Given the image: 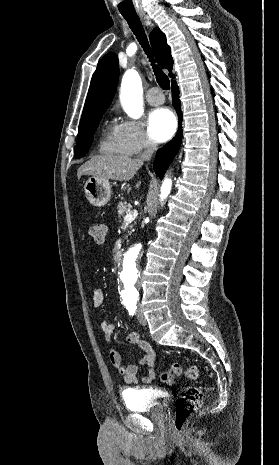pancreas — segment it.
Returning <instances> with one entry per match:
<instances>
[{"label": "pancreas", "mask_w": 279, "mask_h": 465, "mask_svg": "<svg viewBox=\"0 0 279 465\" xmlns=\"http://www.w3.org/2000/svg\"><path fill=\"white\" fill-rule=\"evenodd\" d=\"M131 209V204H127L126 202H120L117 207L118 216H124V214L131 212Z\"/></svg>", "instance_id": "pancreas-1"}]
</instances>
